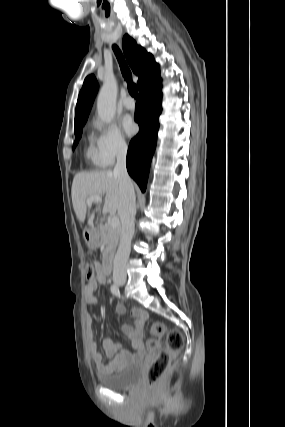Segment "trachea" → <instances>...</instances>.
Here are the masks:
<instances>
[{"label": "trachea", "mask_w": 285, "mask_h": 427, "mask_svg": "<svg viewBox=\"0 0 285 427\" xmlns=\"http://www.w3.org/2000/svg\"><path fill=\"white\" fill-rule=\"evenodd\" d=\"M113 50L114 53L118 59V62L120 64V68H121V72L123 74L124 79L127 81V85H128V91L130 93V95L134 98H138V89L135 83L132 82V74L124 60V57L120 51V49L116 46L113 45Z\"/></svg>", "instance_id": "3493384b"}]
</instances>
